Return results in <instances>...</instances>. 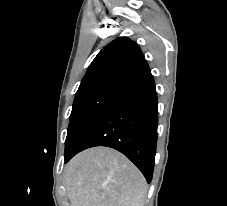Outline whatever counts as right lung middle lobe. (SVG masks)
I'll use <instances>...</instances> for the list:
<instances>
[{
	"label": "right lung middle lobe",
	"mask_w": 227,
	"mask_h": 206,
	"mask_svg": "<svg viewBox=\"0 0 227 206\" xmlns=\"http://www.w3.org/2000/svg\"><path fill=\"white\" fill-rule=\"evenodd\" d=\"M128 86L129 82L109 79L78 89L69 118L64 157L72 152L81 136L99 114L123 94Z\"/></svg>",
	"instance_id": "obj_1"
}]
</instances>
